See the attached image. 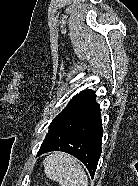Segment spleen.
<instances>
[{"mask_svg": "<svg viewBox=\"0 0 138 186\" xmlns=\"http://www.w3.org/2000/svg\"><path fill=\"white\" fill-rule=\"evenodd\" d=\"M46 176L60 186H88V178L77 159L56 152L43 161Z\"/></svg>", "mask_w": 138, "mask_h": 186, "instance_id": "spleen-1", "label": "spleen"}]
</instances>
